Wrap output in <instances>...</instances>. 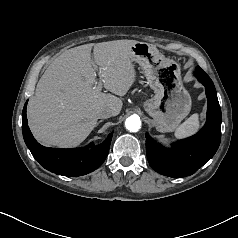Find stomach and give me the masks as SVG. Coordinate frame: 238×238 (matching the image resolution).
Listing matches in <instances>:
<instances>
[{
    "instance_id": "stomach-1",
    "label": "stomach",
    "mask_w": 238,
    "mask_h": 238,
    "mask_svg": "<svg viewBox=\"0 0 238 238\" xmlns=\"http://www.w3.org/2000/svg\"><path fill=\"white\" fill-rule=\"evenodd\" d=\"M132 60L139 64L154 91L143 104L160 132L174 131L191 110V97L184 88L180 65L166 58L153 44L136 42Z\"/></svg>"
}]
</instances>
